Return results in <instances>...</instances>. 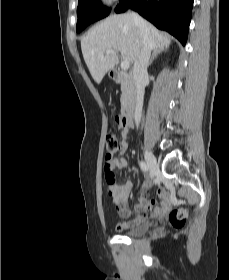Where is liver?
Wrapping results in <instances>:
<instances>
[{"label": "liver", "mask_w": 229, "mask_h": 280, "mask_svg": "<svg viewBox=\"0 0 229 280\" xmlns=\"http://www.w3.org/2000/svg\"><path fill=\"white\" fill-rule=\"evenodd\" d=\"M146 22V21H145ZM153 48H168L171 40L153 25L146 22ZM141 33L131 14L111 15L92 27L81 39V50L89 72L97 84L119 61L118 52L124 60L134 63L141 51ZM114 50L115 54H106Z\"/></svg>", "instance_id": "6515ba94"}]
</instances>
